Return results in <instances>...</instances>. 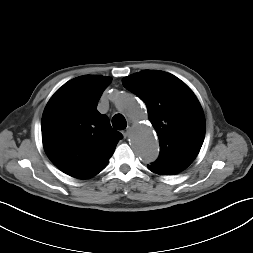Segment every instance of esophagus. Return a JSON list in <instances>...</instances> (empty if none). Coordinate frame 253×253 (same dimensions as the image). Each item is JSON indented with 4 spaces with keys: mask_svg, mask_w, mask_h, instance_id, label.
Returning a JSON list of instances; mask_svg holds the SVG:
<instances>
[{
    "mask_svg": "<svg viewBox=\"0 0 253 253\" xmlns=\"http://www.w3.org/2000/svg\"><path fill=\"white\" fill-rule=\"evenodd\" d=\"M130 130H131V128H130V127H127V128L123 131V135H124L125 138L128 137Z\"/></svg>",
    "mask_w": 253,
    "mask_h": 253,
    "instance_id": "obj_1",
    "label": "esophagus"
}]
</instances>
